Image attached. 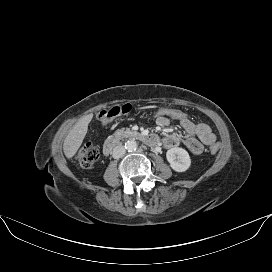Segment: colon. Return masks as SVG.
<instances>
[{"instance_id": "5ec220e1", "label": "colon", "mask_w": 272, "mask_h": 272, "mask_svg": "<svg viewBox=\"0 0 272 272\" xmlns=\"http://www.w3.org/2000/svg\"><path fill=\"white\" fill-rule=\"evenodd\" d=\"M131 110L132 106L130 104L115 105L102 110L98 117L102 123H107L117 116L129 113ZM153 115L156 118L163 117L177 121L189 119V115L186 112L176 108L156 109ZM219 148V144H212L209 150L212 154H215L219 151ZM98 157V149L92 143H85L76 155L78 164L83 168L91 167Z\"/></svg>"}]
</instances>
